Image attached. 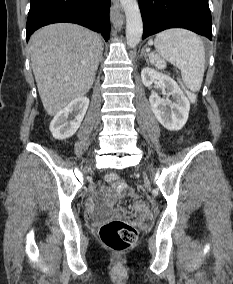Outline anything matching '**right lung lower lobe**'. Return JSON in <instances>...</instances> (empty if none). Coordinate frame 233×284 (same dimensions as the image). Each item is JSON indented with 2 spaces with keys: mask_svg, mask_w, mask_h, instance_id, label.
Here are the masks:
<instances>
[{
  "mask_svg": "<svg viewBox=\"0 0 233 284\" xmlns=\"http://www.w3.org/2000/svg\"><path fill=\"white\" fill-rule=\"evenodd\" d=\"M110 0H31L26 24V40L38 28L58 22L77 23L110 35Z\"/></svg>",
  "mask_w": 233,
  "mask_h": 284,
  "instance_id": "98d812e1",
  "label": "right lung lower lobe"
}]
</instances>
